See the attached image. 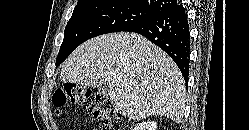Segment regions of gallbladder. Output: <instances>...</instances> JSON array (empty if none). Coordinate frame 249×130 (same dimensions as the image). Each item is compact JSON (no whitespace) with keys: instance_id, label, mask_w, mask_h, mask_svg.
<instances>
[{"instance_id":"gallbladder-1","label":"gallbladder","mask_w":249,"mask_h":130,"mask_svg":"<svg viewBox=\"0 0 249 130\" xmlns=\"http://www.w3.org/2000/svg\"><path fill=\"white\" fill-rule=\"evenodd\" d=\"M98 94L107 97L109 95V89L107 86H101L98 88Z\"/></svg>"}]
</instances>
